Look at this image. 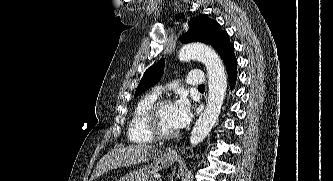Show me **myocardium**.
<instances>
[{"label": "myocardium", "instance_id": "obj_1", "mask_svg": "<svg viewBox=\"0 0 333 181\" xmlns=\"http://www.w3.org/2000/svg\"><path fill=\"white\" fill-rule=\"evenodd\" d=\"M172 104L168 98H158L147 109L144 117L145 126L148 132L157 139H171L178 135V131H164L159 123V114L161 109L167 105Z\"/></svg>", "mask_w": 333, "mask_h": 181}]
</instances>
